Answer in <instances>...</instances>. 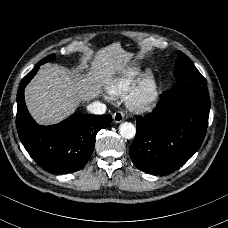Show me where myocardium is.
I'll use <instances>...</instances> for the list:
<instances>
[{"instance_id":"f54148a6","label":"myocardium","mask_w":228,"mask_h":228,"mask_svg":"<svg viewBox=\"0 0 228 228\" xmlns=\"http://www.w3.org/2000/svg\"><path fill=\"white\" fill-rule=\"evenodd\" d=\"M160 102L159 83L153 72H148L136 88L131 103L141 111L153 110Z\"/></svg>"}]
</instances>
